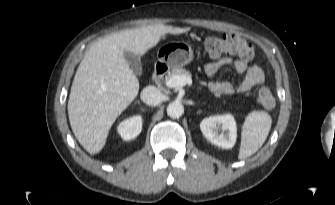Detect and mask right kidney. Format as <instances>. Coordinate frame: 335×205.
<instances>
[{"mask_svg":"<svg viewBox=\"0 0 335 205\" xmlns=\"http://www.w3.org/2000/svg\"><path fill=\"white\" fill-rule=\"evenodd\" d=\"M142 131V116L134 115L120 122L117 132L125 141L136 138Z\"/></svg>","mask_w":335,"mask_h":205,"instance_id":"ca27d5eb","label":"right kidney"}]
</instances>
